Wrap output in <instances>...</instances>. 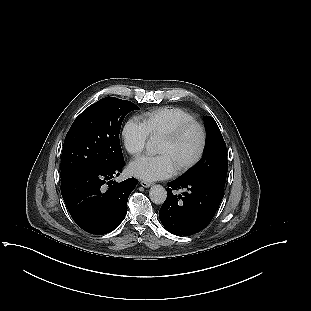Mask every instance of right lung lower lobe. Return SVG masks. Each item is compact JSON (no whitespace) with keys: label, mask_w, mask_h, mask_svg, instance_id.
<instances>
[{"label":"right lung lower lobe","mask_w":311,"mask_h":311,"mask_svg":"<svg viewBox=\"0 0 311 311\" xmlns=\"http://www.w3.org/2000/svg\"><path fill=\"white\" fill-rule=\"evenodd\" d=\"M124 161L110 167L77 170L61 180V194L76 224L92 234L113 231L124 220L127 200L138 180L129 178L120 183Z\"/></svg>","instance_id":"obj_1"}]
</instances>
